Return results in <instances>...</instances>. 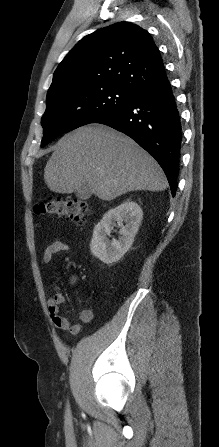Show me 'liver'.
Listing matches in <instances>:
<instances>
[{
	"label": "liver",
	"instance_id": "6515ba94",
	"mask_svg": "<svg viewBox=\"0 0 219 447\" xmlns=\"http://www.w3.org/2000/svg\"><path fill=\"white\" fill-rule=\"evenodd\" d=\"M50 191L71 194L87 185L101 200L130 191H163L166 176L155 159L114 129L93 124L64 135L46 164Z\"/></svg>",
	"mask_w": 219,
	"mask_h": 447
}]
</instances>
